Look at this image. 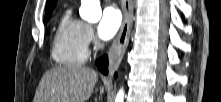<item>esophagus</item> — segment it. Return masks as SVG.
<instances>
[{
	"label": "esophagus",
	"instance_id": "obj_1",
	"mask_svg": "<svg viewBox=\"0 0 221 102\" xmlns=\"http://www.w3.org/2000/svg\"><path fill=\"white\" fill-rule=\"evenodd\" d=\"M123 11L124 18L121 29L109 51L110 73L118 68L129 43L133 17L132 0H123Z\"/></svg>",
	"mask_w": 221,
	"mask_h": 102
}]
</instances>
